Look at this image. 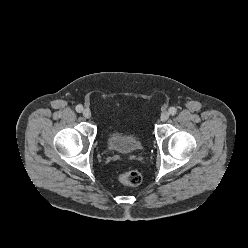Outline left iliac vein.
I'll list each match as a JSON object with an SVG mask.
<instances>
[{"mask_svg": "<svg viewBox=\"0 0 248 248\" xmlns=\"http://www.w3.org/2000/svg\"><path fill=\"white\" fill-rule=\"evenodd\" d=\"M168 118H169V113H168V112L164 111V112L161 113L160 120H161L162 122L167 121Z\"/></svg>", "mask_w": 248, "mask_h": 248, "instance_id": "left-iliac-vein-1", "label": "left iliac vein"}]
</instances>
